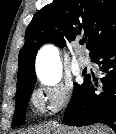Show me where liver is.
Returning a JSON list of instances; mask_svg holds the SVG:
<instances>
[{"label":"liver","instance_id":"6515ba94","mask_svg":"<svg viewBox=\"0 0 116 134\" xmlns=\"http://www.w3.org/2000/svg\"><path fill=\"white\" fill-rule=\"evenodd\" d=\"M108 128L97 126L91 130L79 131L65 126H44L24 132L22 134H108Z\"/></svg>","mask_w":116,"mask_h":134}]
</instances>
